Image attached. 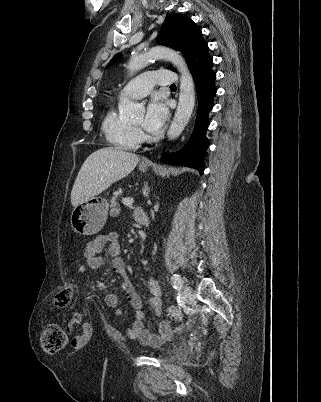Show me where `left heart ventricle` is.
Returning <instances> with one entry per match:
<instances>
[{
  "mask_svg": "<svg viewBox=\"0 0 321 402\" xmlns=\"http://www.w3.org/2000/svg\"><path fill=\"white\" fill-rule=\"evenodd\" d=\"M143 124V117L141 116V117H139L138 119H136L134 122H133V125H135V126H141Z\"/></svg>",
  "mask_w": 321,
  "mask_h": 402,
  "instance_id": "left-heart-ventricle-1",
  "label": "left heart ventricle"
}]
</instances>
